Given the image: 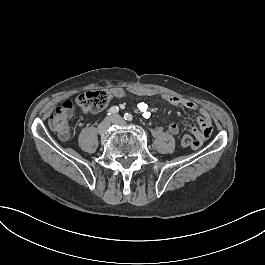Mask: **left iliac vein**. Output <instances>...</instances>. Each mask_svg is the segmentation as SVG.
I'll list each match as a JSON object with an SVG mask.
<instances>
[{
	"label": "left iliac vein",
	"instance_id": "1",
	"mask_svg": "<svg viewBox=\"0 0 265 265\" xmlns=\"http://www.w3.org/2000/svg\"><path fill=\"white\" fill-rule=\"evenodd\" d=\"M110 121L113 124H117V125H121V126H125L126 125V121L122 117H120L118 115L112 116Z\"/></svg>",
	"mask_w": 265,
	"mask_h": 265
}]
</instances>
